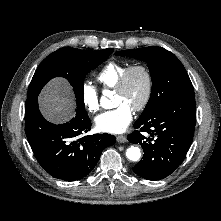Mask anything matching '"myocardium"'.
<instances>
[{"instance_id": "f54148a6", "label": "myocardium", "mask_w": 221, "mask_h": 221, "mask_svg": "<svg viewBox=\"0 0 221 221\" xmlns=\"http://www.w3.org/2000/svg\"><path fill=\"white\" fill-rule=\"evenodd\" d=\"M135 71L142 72L146 79V89H145L144 96L142 100L140 101V103L133 108L134 111L139 112L146 108V106L148 105L151 99L152 92H153V76H152L150 69L146 65L137 63V64H132L128 66L122 73L114 89L116 92H123L127 87L131 74Z\"/></svg>"}]
</instances>
